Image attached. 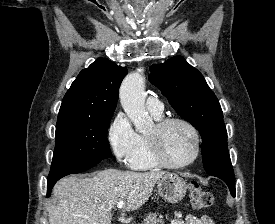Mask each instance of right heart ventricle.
<instances>
[{"mask_svg": "<svg viewBox=\"0 0 275 224\" xmlns=\"http://www.w3.org/2000/svg\"><path fill=\"white\" fill-rule=\"evenodd\" d=\"M154 119L159 120L162 118V114H155L150 112ZM129 166L135 170H153L160 166L157 165L152 159L148 143L147 135H138V146L128 161Z\"/></svg>", "mask_w": 275, "mask_h": 224, "instance_id": "e07e8e85", "label": "right heart ventricle"}]
</instances>
